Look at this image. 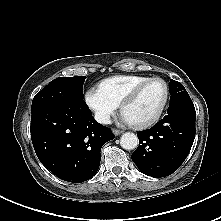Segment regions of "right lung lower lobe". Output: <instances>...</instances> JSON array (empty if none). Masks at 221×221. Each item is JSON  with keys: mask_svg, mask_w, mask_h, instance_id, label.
Masks as SVG:
<instances>
[{"mask_svg": "<svg viewBox=\"0 0 221 221\" xmlns=\"http://www.w3.org/2000/svg\"><path fill=\"white\" fill-rule=\"evenodd\" d=\"M31 139L46 168L62 180L80 183L97 173L101 147L114 135L97 123L86 103L80 101L32 112Z\"/></svg>", "mask_w": 221, "mask_h": 221, "instance_id": "obj_1", "label": "right lung lower lobe"}]
</instances>
